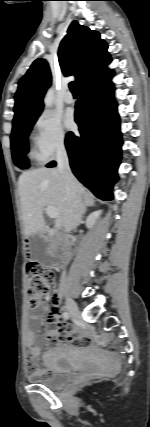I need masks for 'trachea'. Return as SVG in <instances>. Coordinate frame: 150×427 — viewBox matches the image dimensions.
<instances>
[{
	"label": "trachea",
	"instance_id": "1",
	"mask_svg": "<svg viewBox=\"0 0 150 427\" xmlns=\"http://www.w3.org/2000/svg\"><path fill=\"white\" fill-rule=\"evenodd\" d=\"M69 88L74 95L77 94V86H76V83L74 81L69 83Z\"/></svg>",
	"mask_w": 150,
	"mask_h": 427
}]
</instances>
